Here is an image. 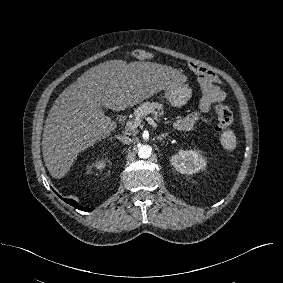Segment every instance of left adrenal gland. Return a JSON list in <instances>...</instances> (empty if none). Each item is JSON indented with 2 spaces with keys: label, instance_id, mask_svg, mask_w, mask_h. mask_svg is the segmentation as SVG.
Instances as JSON below:
<instances>
[{
  "label": "left adrenal gland",
  "instance_id": "1",
  "mask_svg": "<svg viewBox=\"0 0 283 283\" xmlns=\"http://www.w3.org/2000/svg\"><path fill=\"white\" fill-rule=\"evenodd\" d=\"M168 134H169V132L163 133L162 135H159L157 138L161 141V140H163Z\"/></svg>",
  "mask_w": 283,
  "mask_h": 283
}]
</instances>
